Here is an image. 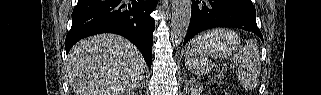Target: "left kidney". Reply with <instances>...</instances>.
<instances>
[{
    "label": "left kidney",
    "mask_w": 321,
    "mask_h": 95,
    "mask_svg": "<svg viewBox=\"0 0 321 95\" xmlns=\"http://www.w3.org/2000/svg\"><path fill=\"white\" fill-rule=\"evenodd\" d=\"M191 90H192L191 95H200V92L202 91V88L194 87Z\"/></svg>",
    "instance_id": "5707ae66"
}]
</instances>
